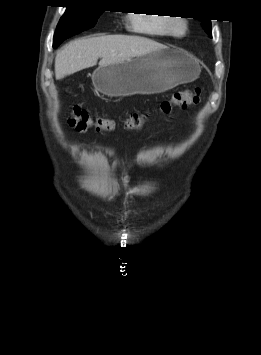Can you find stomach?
I'll use <instances>...</instances> for the list:
<instances>
[{"label": "stomach", "instance_id": "0dacf381", "mask_svg": "<svg viewBox=\"0 0 261 355\" xmlns=\"http://www.w3.org/2000/svg\"><path fill=\"white\" fill-rule=\"evenodd\" d=\"M200 72L195 57L179 48L164 46L123 62L99 65L92 82L109 97L157 94L196 80Z\"/></svg>", "mask_w": 261, "mask_h": 355}]
</instances>
